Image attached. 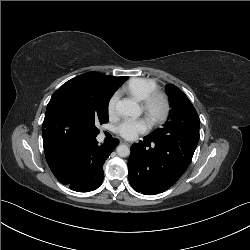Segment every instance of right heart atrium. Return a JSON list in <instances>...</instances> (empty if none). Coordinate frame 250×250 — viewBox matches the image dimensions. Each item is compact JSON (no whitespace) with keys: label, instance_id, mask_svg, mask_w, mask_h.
Returning a JSON list of instances; mask_svg holds the SVG:
<instances>
[{"label":"right heart atrium","instance_id":"1","mask_svg":"<svg viewBox=\"0 0 250 250\" xmlns=\"http://www.w3.org/2000/svg\"><path fill=\"white\" fill-rule=\"evenodd\" d=\"M118 99H119V94L114 93L108 100L107 111L111 116L116 114Z\"/></svg>","mask_w":250,"mask_h":250}]
</instances>
